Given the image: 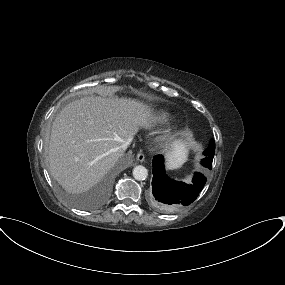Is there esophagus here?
<instances>
[{"label": "esophagus", "mask_w": 285, "mask_h": 285, "mask_svg": "<svg viewBox=\"0 0 285 285\" xmlns=\"http://www.w3.org/2000/svg\"><path fill=\"white\" fill-rule=\"evenodd\" d=\"M136 159L139 161V162H143L145 160V156L143 153H138L137 156H136Z\"/></svg>", "instance_id": "esophagus-1"}]
</instances>
